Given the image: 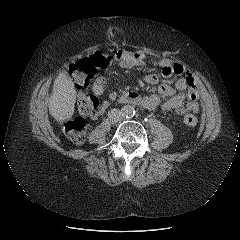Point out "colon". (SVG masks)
Masks as SVG:
<instances>
[{"mask_svg": "<svg viewBox=\"0 0 240 240\" xmlns=\"http://www.w3.org/2000/svg\"><path fill=\"white\" fill-rule=\"evenodd\" d=\"M112 58L95 52L94 54L76 61L70 67V73L75 86L81 90L79 93V110L83 115H92L98 110L99 102L96 97L83 92L92 82L96 72L106 67ZM185 123L188 126H195L198 122L193 114L185 116ZM66 136L77 145L84 142L86 138L87 124L83 117H77L68 121L64 128Z\"/></svg>", "mask_w": 240, "mask_h": 240, "instance_id": "1", "label": "colon"}]
</instances>
